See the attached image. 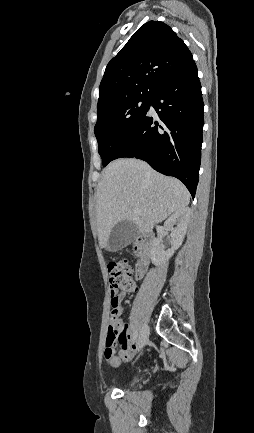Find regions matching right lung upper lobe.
Masks as SVG:
<instances>
[{"label": "right lung upper lobe", "instance_id": "1", "mask_svg": "<svg viewBox=\"0 0 254 433\" xmlns=\"http://www.w3.org/2000/svg\"><path fill=\"white\" fill-rule=\"evenodd\" d=\"M192 59L185 43L168 25L145 23L108 63L99 87L97 111L127 100L152 98Z\"/></svg>", "mask_w": 254, "mask_h": 433}]
</instances>
